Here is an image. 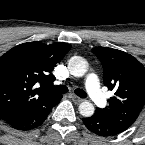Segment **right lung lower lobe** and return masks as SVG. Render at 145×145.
<instances>
[{
    "label": "right lung lower lobe",
    "mask_w": 145,
    "mask_h": 145,
    "mask_svg": "<svg viewBox=\"0 0 145 145\" xmlns=\"http://www.w3.org/2000/svg\"><path fill=\"white\" fill-rule=\"evenodd\" d=\"M61 98L62 96L59 94L38 109L14 115L4 121L17 130L28 131L34 129L45 121L52 108L60 102Z\"/></svg>",
    "instance_id": "right-lung-lower-lobe-1"
}]
</instances>
